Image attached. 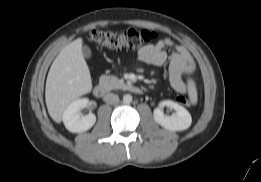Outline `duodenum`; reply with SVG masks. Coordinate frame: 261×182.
I'll list each match as a JSON object with an SVG mask.
<instances>
[{
  "label": "duodenum",
  "instance_id": "obj_1",
  "mask_svg": "<svg viewBox=\"0 0 261 182\" xmlns=\"http://www.w3.org/2000/svg\"><path fill=\"white\" fill-rule=\"evenodd\" d=\"M126 88L136 94H141L142 93V88L133 84V83H129L126 85ZM93 94L97 97V98H102L105 96L106 94V87L103 84H97L94 89H93Z\"/></svg>",
  "mask_w": 261,
  "mask_h": 182
}]
</instances>
